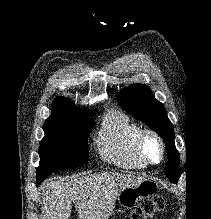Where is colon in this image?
<instances>
[{
	"label": "colon",
	"instance_id": "colon-1",
	"mask_svg": "<svg viewBox=\"0 0 211 219\" xmlns=\"http://www.w3.org/2000/svg\"><path fill=\"white\" fill-rule=\"evenodd\" d=\"M169 205V199L165 196H156L142 202L139 207L124 219H150L160 214Z\"/></svg>",
	"mask_w": 211,
	"mask_h": 219
}]
</instances>
